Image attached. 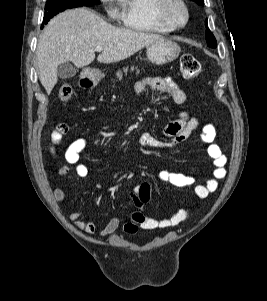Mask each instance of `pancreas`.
<instances>
[{"label": "pancreas", "mask_w": 267, "mask_h": 301, "mask_svg": "<svg viewBox=\"0 0 267 301\" xmlns=\"http://www.w3.org/2000/svg\"><path fill=\"white\" fill-rule=\"evenodd\" d=\"M134 70H135L134 67H131V68H130V71H131V72H133ZM128 71H129V67H124V68H123V72L117 71V72H116L117 78H118V79H122L123 73L127 74ZM139 72H140V70L136 68V73H139Z\"/></svg>", "instance_id": "obj_1"}]
</instances>
